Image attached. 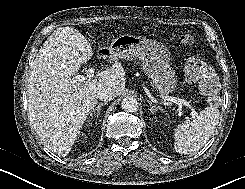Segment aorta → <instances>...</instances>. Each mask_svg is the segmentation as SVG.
Instances as JSON below:
<instances>
[{
  "mask_svg": "<svg viewBox=\"0 0 245 189\" xmlns=\"http://www.w3.org/2000/svg\"><path fill=\"white\" fill-rule=\"evenodd\" d=\"M121 107L127 112H136L139 108V102L136 98L128 96L122 100Z\"/></svg>",
  "mask_w": 245,
  "mask_h": 189,
  "instance_id": "obj_1",
  "label": "aorta"
}]
</instances>
